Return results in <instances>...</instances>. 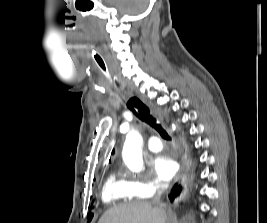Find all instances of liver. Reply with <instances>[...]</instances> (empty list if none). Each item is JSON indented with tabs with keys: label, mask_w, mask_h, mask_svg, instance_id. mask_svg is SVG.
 <instances>
[{
	"label": "liver",
	"mask_w": 267,
	"mask_h": 223,
	"mask_svg": "<svg viewBox=\"0 0 267 223\" xmlns=\"http://www.w3.org/2000/svg\"><path fill=\"white\" fill-rule=\"evenodd\" d=\"M166 210L150 202L136 201L113 206L98 223H165Z\"/></svg>",
	"instance_id": "obj_1"
}]
</instances>
